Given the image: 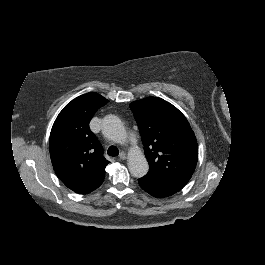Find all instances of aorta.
Listing matches in <instances>:
<instances>
[{"instance_id":"aorta-1","label":"aorta","mask_w":265,"mask_h":265,"mask_svg":"<svg viewBox=\"0 0 265 265\" xmlns=\"http://www.w3.org/2000/svg\"><path fill=\"white\" fill-rule=\"evenodd\" d=\"M102 133L110 140L120 141L125 136V130L120 118L108 114L102 119ZM130 174L135 178L144 177L149 171V165L142 154L130 152L128 160Z\"/></svg>"}]
</instances>
